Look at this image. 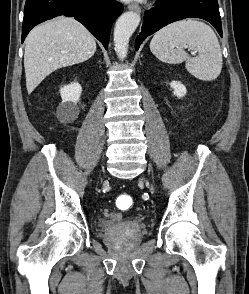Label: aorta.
I'll return each mask as SVG.
<instances>
[{
	"instance_id": "obj_1",
	"label": "aorta",
	"mask_w": 249,
	"mask_h": 294,
	"mask_svg": "<svg viewBox=\"0 0 249 294\" xmlns=\"http://www.w3.org/2000/svg\"><path fill=\"white\" fill-rule=\"evenodd\" d=\"M140 15L129 11L121 15L114 28V47L120 60H124L128 53L129 39L140 23Z\"/></svg>"
}]
</instances>
